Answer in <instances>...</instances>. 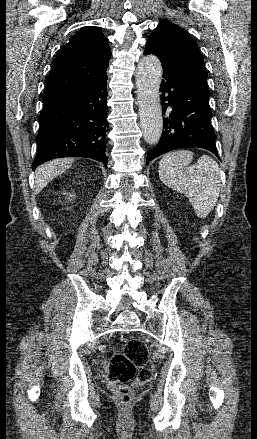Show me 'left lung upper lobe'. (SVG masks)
I'll list each match as a JSON object with an SVG mask.
<instances>
[{
	"label": "left lung upper lobe",
	"instance_id": "left-lung-upper-lobe-1",
	"mask_svg": "<svg viewBox=\"0 0 257 439\" xmlns=\"http://www.w3.org/2000/svg\"><path fill=\"white\" fill-rule=\"evenodd\" d=\"M145 49L158 56L162 65L181 72L210 94L203 56L194 39L181 27L163 19L150 35Z\"/></svg>",
	"mask_w": 257,
	"mask_h": 439
}]
</instances>
